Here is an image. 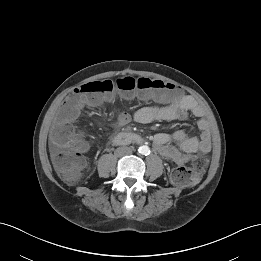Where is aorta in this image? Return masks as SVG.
I'll list each match as a JSON object with an SVG mask.
<instances>
[{"mask_svg": "<svg viewBox=\"0 0 261 261\" xmlns=\"http://www.w3.org/2000/svg\"><path fill=\"white\" fill-rule=\"evenodd\" d=\"M139 153L142 154V155H148L149 152H150V149L148 146L146 145H143V146H140L139 149H138Z\"/></svg>", "mask_w": 261, "mask_h": 261, "instance_id": "1", "label": "aorta"}]
</instances>
